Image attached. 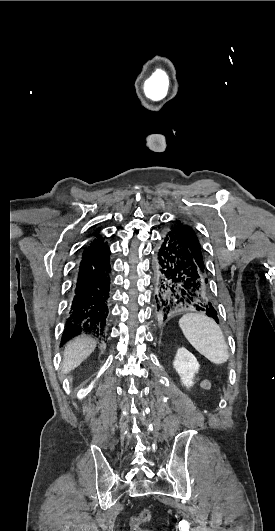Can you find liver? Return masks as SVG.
Wrapping results in <instances>:
<instances>
[{
  "label": "liver",
  "mask_w": 275,
  "mask_h": 531,
  "mask_svg": "<svg viewBox=\"0 0 275 531\" xmlns=\"http://www.w3.org/2000/svg\"><path fill=\"white\" fill-rule=\"evenodd\" d=\"M94 349H96V341L90 339V337H86V335L76 337V339L67 343L63 355V375L79 367L93 353Z\"/></svg>",
  "instance_id": "1"
}]
</instances>
